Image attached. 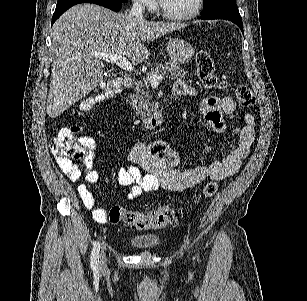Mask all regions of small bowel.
I'll return each mask as SVG.
<instances>
[{
	"instance_id": "1",
	"label": "small bowel",
	"mask_w": 307,
	"mask_h": 301,
	"mask_svg": "<svg viewBox=\"0 0 307 301\" xmlns=\"http://www.w3.org/2000/svg\"><path fill=\"white\" fill-rule=\"evenodd\" d=\"M173 93L177 96H193L196 90L183 80L174 84ZM201 111L211 129L217 134L227 130L226 119L233 121L236 103L231 97L209 96L201 105ZM235 144L225 158L209 165H200L192 169L181 170L176 167L179 155L164 142L157 141L151 145L135 144L128 154L130 164L122 166L117 172V181L121 186L129 187L128 199L132 200L145 192L160 189L175 192L193 188L211 178L223 180L234 176L248 156L255 139V119L253 115L245 116V125L235 127L232 131ZM83 143L87 149L84 157V182L77 186L83 205L91 212L94 220L100 224L107 222V212L96 204V200L87 184L96 183L99 174L94 167L96 141L91 136H84ZM60 170L72 181H79V168L67 157L55 155Z\"/></svg>"
}]
</instances>
